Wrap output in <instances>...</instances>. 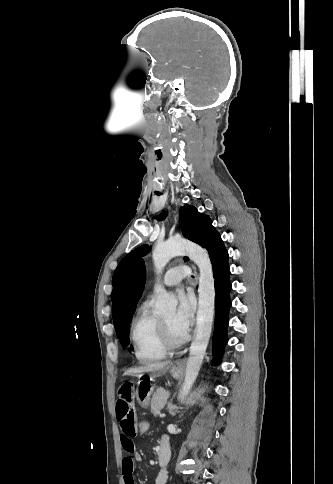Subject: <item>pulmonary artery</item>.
<instances>
[{"label": "pulmonary artery", "instance_id": "1", "mask_svg": "<svg viewBox=\"0 0 333 484\" xmlns=\"http://www.w3.org/2000/svg\"><path fill=\"white\" fill-rule=\"evenodd\" d=\"M190 274V270L187 266L178 265L170 268L163 277L162 283L165 286L178 285L182 279Z\"/></svg>", "mask_w": 333, "mask_h": 484}]
</instances>
